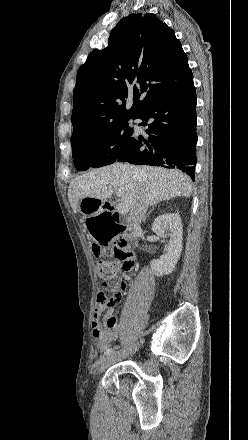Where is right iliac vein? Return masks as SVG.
<instances>
[{
	"mask_svg": "<svg viewBox=\"0 0 248 440\" xmlns=\"http://www.w3.org/2000/svg\"><path fill=\"white\" fill-rule=\"evenodd\" d=\"M136 350H137V347H134V348L129 349L128 351L122 353V354L119 355V356L126 357V356H128L129 354L134 353V351H136ZM117 357H118L117 355H114V354L111 355V354H110V355H108L107 357L102 358V359L100 360L99 365H98V368H97L98 373L103 372L108 366H110V365L116 360Z\"/></svg>",
	"mask_w": 248,
	"mask_h": 440,
	"instance_id": "obj_1",
	"label": "right iliac vein"
}]
</instances>
